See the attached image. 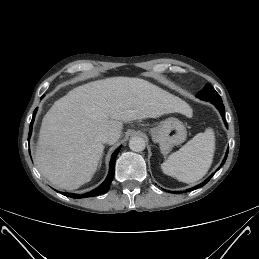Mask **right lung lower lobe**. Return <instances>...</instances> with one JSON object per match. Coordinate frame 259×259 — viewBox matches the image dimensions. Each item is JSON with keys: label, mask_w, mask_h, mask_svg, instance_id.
<instances>
[{"label": "right lung lower lobe", "mask_w": 259, "mask_h": 259, "mask_svg": "<svg viewBox=\"0 0 259 259\" xmlns=\"http://www.w3.org/2000/svg\"><path fill=\"white\" fill-rule=\"evenodd\" d=\"M37 109H35L33 117H32V121L30 123V129H29V136H28V141L30 139L31 133H32V126H33V122H34V118H35V114H36ZM121 146L114 152L110 164H109V173L107 178L105 179V181L96 189L92 190L91 192H87L85 194H74V193H64L69 197L72 198H86V197H94V196H98L100 194H104L109 190L110 184L113 180V176H114V163H115V159L116 156L120 150Z\"/></svg>", "instance_id": "right-lung-lower-lobe-1"}]
</instances>
